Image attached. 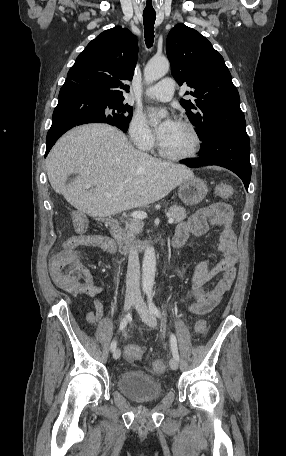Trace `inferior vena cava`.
I'll use <instances>...</instances> for the list:
<instances>
[{
    "label": "inferior vena cava",
    "instance_id": "602c4592",
    "mask_svg": "<svg viewBox=\"0 0 286 456\" xmlns=\"http://www.w3.org/2000/svg\"><path fill=\"white\" fill-rule=\"evenodd\" d=\"M140 263L136 248L132 246L129 250L128 268L126 275V296H140Z\"/></svg>",
    "mask_w": 286,
    "mask_h": 456
}]
</instances>
